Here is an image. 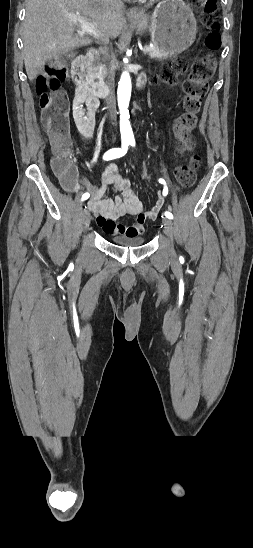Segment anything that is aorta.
I'll return each instance as SVG.
<instances>
[{
	"label": "aorta",
	"mask_w": 253,
	"mask_h": 548,
	"mask_svg": "<svg viewBox=\"0 0 253 548\" xmlns=\"http://www.w3.org/2000/svg\"><path fill=\"white\" fill-rule=\"evenodd\" d=\"M131 96V78L128 72H123L118 84V105L121 113L120 130L122 138H132L133 132L129 123L128 105Z\"/></svg>",
	"instance_id": "aorta-1"
}]
</instances>
